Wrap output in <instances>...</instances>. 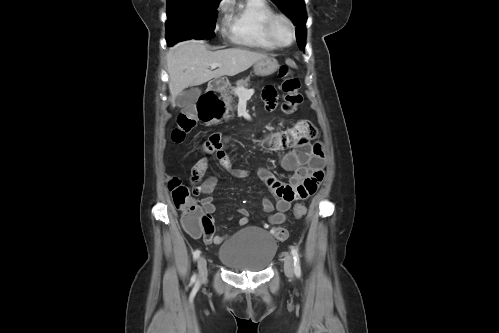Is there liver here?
<instances>
[{"mask_svg":"<svg viewBox=\"0 0 499 333\" xmlns=\"http://www.w3.org/2000/svg\"><path fill=\"white\" fill-rule=\"evenodd\" d=\"M167 69L169 73V91L171 104L176 97L189 86L206 83L221 76H235L261 59L268 58L265 53L242 48H230L209 51L201 40H187L174 45L167 52ZM212 63H220L218 69L212 70Z\"/></svg>","mask_w":499,"mask_h":333,"instance_id":"obj_1","label":"liver"}]
</instances>
